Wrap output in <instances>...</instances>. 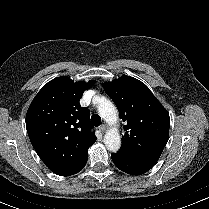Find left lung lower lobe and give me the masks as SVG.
I'll return each mask as SVG.
<instances>
[{
  "mask_svg": "<svg viewBox=\"0 0 209 209\" xmlns=\"http://www.w3.org/2000/svg\"><path fill=\"white\" fill-rule=\"evenodd\" d=\"M111 158L120 170L130 175H141L149 171L157 162L155 160L134 157L122 153L113 154Z\"/></svg>",
  "mask_w": 209,
  "mask_h": 209,
  "instance_id": "obj_1",
  "label": "left lung lower lobe"
}]
</instances>
